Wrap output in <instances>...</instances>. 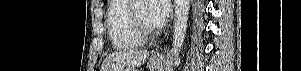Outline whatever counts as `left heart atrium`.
I'll list each match as a JSON object with an SVG mask.
<instances>
[{"label":"left heart atrium","mask_w":301,"mask_h":71,"mask_svg":"<svg viewBox=\"0 0 301 71\" xmlns=\"http://www.w3.org/2000/svg\"><path fill=\"white\" fill-rule=\"evenodd\" d=\"M150 14L156 28L162 27L170 13L171 3L169 0H150Z\"/></svg>","instance_id":"left-heart-atrium-1"}]
</instances>
